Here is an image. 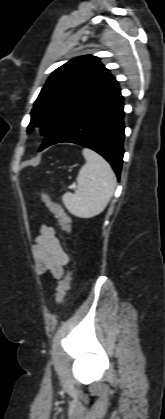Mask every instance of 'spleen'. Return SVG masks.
Instances as JSON below:
<instances>
[{
	"mask_svg": "<svg viewBox=\"0 0 165 419\" xmlns=\"http://www.w3.org/2000/svg\"><path fill=\"white\" fill-rule=\"evenodd\" d=\"M86 164L77 176L75 194L65 193L63 203L68 211L80 218H91L103 212L116 186V176L109 163L98 153L84 148Z\"/></svg>",
	"mask_w": 165,
	"mask_h": 419,
	"instance_id": "1",
	"label": "spleen"
}]
</instances>
